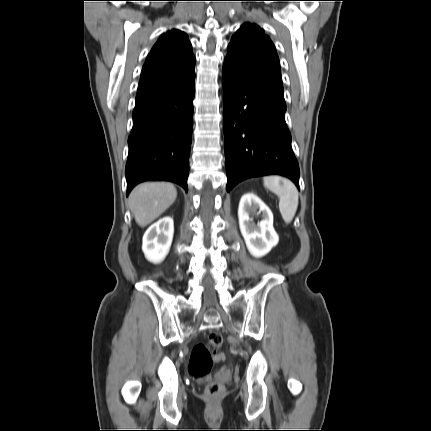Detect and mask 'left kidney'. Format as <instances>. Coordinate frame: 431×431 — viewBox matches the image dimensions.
Listing matches in <instances>:
<instances>
[{
	"label": "left kidney",
	"instance_id": "obj_1",
	"mask_svg": "<svg viewBox=\"0 0 431 431\" xmlns=\"http://www.w3.org/2000/svg\"><path fill=\"white\" fill-rule=\"evenodd\" d=\"M261 214V221L255 224L250 216ZM239 227L250 253L262 257L277 245L279 237L273 228L271 210L255 194L248 193L241 197L238 208Z\"/></svg>",
	"mask_w": 431,
	"mask_h": 431
}]
</instances>
